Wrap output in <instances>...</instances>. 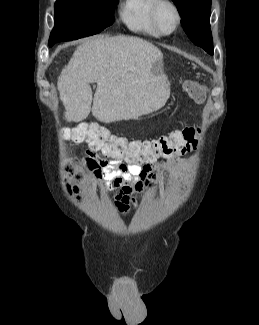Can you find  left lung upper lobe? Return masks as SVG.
Instances as JSON below:
<instances>
[{
    "instance_id": "left-lung-upper-lobe-1",
    "label": "left lung upper lobe",
    "mask_w": 259,
    "mask_h": 325,
    "mask_svg": "<svg viewBox=\"0 0 259 325\" xmlns=\"http://www.w3.org/2000/svg\"><path fill=\"white\" fill-rule=\"evenodd\" d=\"M182 18V27L196 45L213 55L210 30L211 0H173Z\"/></svg>"
}]
</instances>
